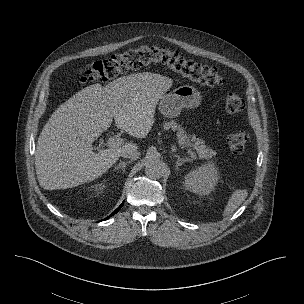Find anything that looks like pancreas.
<instances>
[{
  "label": "pancreas",
  "instance_id": "cf45deb5",
  "mask_svg": "<svg viewBox=\"0 0 304 304\" xmlns=\"http://www.w3.org/2000/svg\"><path fill=\"white\" fill-rule=\"evenodd\" d=\"M163 128L165 130L171 128L173 131H177V137L180 144L185 147H192L201 158L210 159L216 155L214 150L205 145L204 140L187 135L184 129L175 121L171 120L163 123Z\"/></svg>",
  "mask_w": 304,
  "mask_h": 304
}]
</instances>
